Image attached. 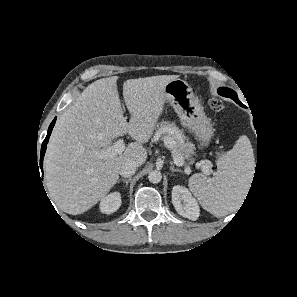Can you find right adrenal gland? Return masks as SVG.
I'll return each mask as SVG.
<instances>
[{
    "mask_svg": "<svg viewBox=\"0 0 297 297\" xmlns=\"http://www.w3.org/2000/svg\"><path fill=\"white\" fill-rule=\"evenodd\" d=\"M130 180H131V178H129V179H119V180L117 181V183L124 182V183L126 184V186H127L128 183L130 182Z\"/></svg>",
    "mask_w": 297,
    "mask_h": 297,
    "instance_id": "right-adrenal-gland-1",
    "label": "right adrenal gland"
}]
</instances>
